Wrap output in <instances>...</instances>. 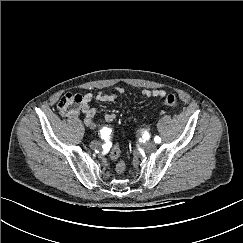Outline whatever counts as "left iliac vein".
<instances>
[{
	"mask_svg": "<svg viewBox=\"0 0 243 243\" xmlns=\"http://www.w3.org/2000/svg\"><path fill=\"white\" fill-rule=\"evenodd\" d=\"M155 143H153V142H146L145 144H143V147L145 148V150H147V151H150V150H152V149H154L155 148Z\"/></svg>",
	"mask_w": 243,
	"mask_h": 243,
	"instance_id": "left-iliac-vein-1",
	"label": "left iliac vein"
}]
</instances>
